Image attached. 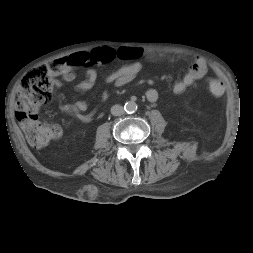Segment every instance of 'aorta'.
I'll return each mask as SVG.
<instances>
[{
	"label": "aorta",
	"mask_w": 253,
	"mask_h": 253,
	"mask_svg": "<svg viewBox=\"0 0 253 253\" xmlns=\"http://www.w3.org/2000/svg\"><path fill=\"white\" fill-rule=\"evenodd\" d=\"M124 109L127 113H134L137 110V104L134 101H127L125 103Z\"/></svg>",
	"instance_id": "aorta-1"
}]
</instances>
